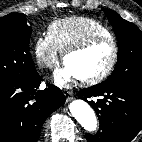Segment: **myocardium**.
I'll return each instance as SVG.
<instances>
[{"mask_svg": "<svg viewBox=\"0 0 142 142\" xmlns=\"http://www.w3.org/2000/svg\"><path fill=\"white\" fill-rule=\"evenodd\" d=\"M98 41H109L113 46V54L109 64L103 71L90 77L78 78L79 81L84 85L91 86L98 84L103 80H105L112 73V71L114 70L117 64L119 57V46L116 39L112 35H100V34L90 35L82 39L81 41L69 46L67 49L63 51L62 60L63 62H65L66 58L69 55L76 52H80Z\"/></svg>", "mask_w": 142, "mask_h": 142, "instance_id": "obj_1", "label": "myocardium"}]
</instances>
